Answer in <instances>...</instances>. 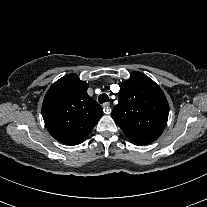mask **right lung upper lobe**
Listing matches in <instances>:
<instances>
[{
	"instance_id": "right-lung-upper-lobe-1",
	"label": "right lung upper lobe",
	"mask_w": 207,
	"mask_h": 207,
	"mask_svg": "<svg viewBox=\"0 0 207 207\" xmlns=\"http://www.w3.org/2000/svg\"><path fill=\"white\" fill-rule=\"evenodd\" d=\"M87 88L88 84L72 73L56 81L45 95V125L63 144L82 143L102 116V107L87 94Z\"/></svg>"
}]
</instances>
